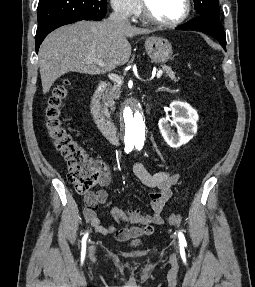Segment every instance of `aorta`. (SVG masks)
<instances>
[{
  "mask_svg": "<svg viewBox=\"0 0 255 287\" xmlns=\"http://www.w3.org/2000/svg\"><path fill=\"white\" fill-rule=\"evenodd\" d=\"M145 120L137 104H130L123 111V133L125 144L142 147L145 141Z\"/></svg>",
  "mask_w": 255,
  "mask_h": 287,
  "instance_id": "1",
  "label": "aorta"
}]
</instances>
